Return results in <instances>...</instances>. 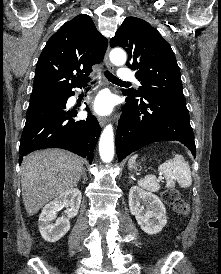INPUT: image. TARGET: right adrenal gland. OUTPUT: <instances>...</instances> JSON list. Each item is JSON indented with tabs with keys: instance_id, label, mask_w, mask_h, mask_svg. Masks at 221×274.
Instances as JSON below:
<instances>
[{
	"instance_id": "right-adrenal-gland-1",
	"label": "right adrenal gland",
	"mask_w": 221,
	"mask_h": 274,
	"mask_svg": "<svg viewBox=\"0 0 221 274\" xmlns=\"http://www.w3.org/2000/svg\"><path fill=\"white\" fill-rule=\"evenodd\" d=\"M81 179H83V182H86V181H87V176H86V170H85V169L83 170V174H82L80 180H81Z\"/></svg>"
}]
</instances>
